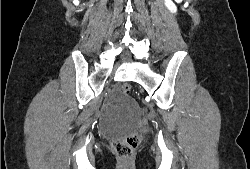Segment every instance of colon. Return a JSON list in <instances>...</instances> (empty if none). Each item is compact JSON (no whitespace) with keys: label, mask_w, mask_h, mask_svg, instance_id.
I'll return each instance as SVG.
<instances>
[{"label":"colon","mask_w":250,"mask_h":169,"mask_svg":"<svg viewBox=\"0 0 250 169\" xmlns=\"http://www.w3.org/2000/svg\"><path fill=\"white\" fill-rule=\"evenodd\" d=\"M122 93H131L128 85H122ZM143 134H132L125 138H112L111 150L119 157L117 169H136L135 150L142 143Z\"/></svg>","instance_id":"colon-1"}]
</instances>
